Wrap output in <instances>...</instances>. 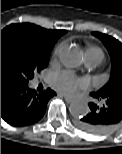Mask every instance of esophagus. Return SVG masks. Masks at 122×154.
Returning <instances> with one entry per match:
<instances>
[{
  "label": "esophagus",
  "mask_w": 122,
  "mask_h": 154,
  "mask_svg": "<svg viewBox=\"0 0 122 154\" xmlns=\"http://www.w3.org/2000/svg\"><path fill=\"white\" fill-rule=\"evenodd\" d=\"M63 97H64V99H65V101L67 102V103H71V102H73V98H71V97H69V96H67V95H64V94H61Z\"/></svg>",
  "instance_id": "esophagus-1"
}]
</instances>
